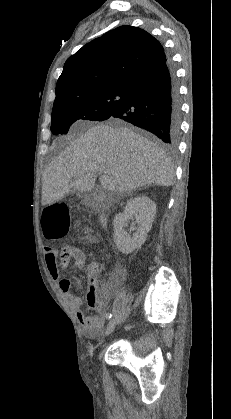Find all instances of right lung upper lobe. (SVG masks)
<instances>
[{
    "label": "right lung upper lobe",
    "instance_id": "obj_1",
    "mask_svg": "<svg viewBox=\"0 0 231 419\" xmlns=\"http://www.w3.org/2000/svg\"><path fill=\"white\" fill-rule=\"evenodd\" d=\"M167 61L160 42L143 29L121 26L84 45L65 62L55 102L102 88L129 87Z\"/></svg>",
    "mask_w": 231,
    "mask_h": 419
}]
</instances>
